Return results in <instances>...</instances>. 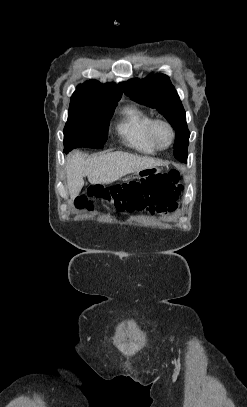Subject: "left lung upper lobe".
Returning <instances> with one entry per match:
<instances>
[{
  "mask_svg": "<svg viewBox=\"0 0 247 407\" xmlns=\"http://www.w3.org/2000/svg\"><path fill=\"white\" fill-rule=\"evenodd\" d=\"M124 93L133 101L155 108L176 130L174 156L187 162L190 132L186 113L168 76L150 74L144 79H130L123 83Z\"/></svg>",
  "mask_w": 247,
  "mask_h": 407,
  "instance_id": "left-lung-upper-lobe-1",
  "label": "left lung upper lobe"
}]
</instances>
